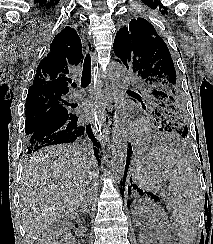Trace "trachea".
<instances>
[{
	"label": "trachea",
	"mask_w": 213,
	"mask_h": 244,
	"mask_svg": "<svg viewBox=\"0 0 213 244\" xmlns=\"http://www.w3.org/2000/svg\"><path fill=\"white\" fill-rule=\"evenodd\" d=\"M90 82H91V57L89 54H87L83 64L81 86L83 88H86L90 84Z\"/></svg>",
	"instance_id": "1"
}]
</instances>
